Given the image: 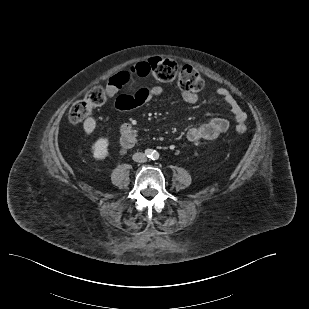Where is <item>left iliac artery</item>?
Masks as SVG:
<instances>
[{"label": "left iliac artery", "mask_w": 309, "mask_h": 309, "mask_svg": "<svg viewBox=\"0 0 309 309\" xmlns=\"http://www.w3.org/2000/svg\"><path fill=\"white\" fill-rule=\"evenodd\" d=\"M159 158V154L156 152V153H154V155H153V160H157Z\"/></svg>", "instance_id": "obj_1"}]
</instances>
